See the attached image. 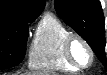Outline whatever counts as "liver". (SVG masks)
I'll list each match as a JSON object with an SVG mask.
<instances>
[{
  "mask_svg": "<svg viewBox=\"0 0 107 75\" xmlns=\"http://www.w3.org/2000/svg\"><path fill=\"white\" fill-rule=\"evenodd\" d=\"M15 75H42V74H39V73H36V72H29V73H25V74H20L19 72L16 73ZM56 75V74H55Z\"/></svg>",
  "mask_w": 107,
  "mask_h": 75,
  "instance_id": "1",
  "label": "liver"
}]
</instances>
